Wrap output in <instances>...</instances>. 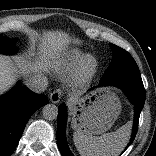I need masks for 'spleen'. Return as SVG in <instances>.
<instances>
[{"label": "spleen", "mask_w": 156, "mask_h": 156, "mask_svg": "<svg viewBox=\"0 0 156 156\" xmlns=\"http://www.w3.org/2000/svg\"><path fill=\"white\" fill-rule=\"evenodd\" d=\"M128 140L127 126L115 132L93 136L88 130L74 127L73 141L81 156H118Z\"/></svg>", "instance_id": "1"}]
</instances>
